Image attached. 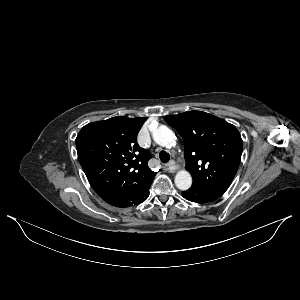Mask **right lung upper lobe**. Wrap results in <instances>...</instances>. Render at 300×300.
Here are the masks:
<instances>
[{
    "instance_id": "cb5924a9",
    "label": "right lung upper lobe",
    "mask_w": 300,
    "mask_h": 300,
    "mask_svg": "<svg viewBox=\"0 0 300 300\" xmlns=\"http://www.w3.org/2000/svg\"><path fill=\"white\" fill-rule=\"evenodd\" d=\"M145 117H113L85 125L76 138L79 162L103 199L148 187L156 174L151 154L136 141Z\"/></svg>"
}]
</instances>
